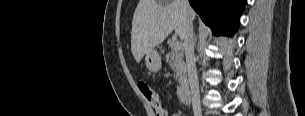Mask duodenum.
I'll use <instances>...</instances> for the list:
<instances>
[{"instance_id": "duodenum-1", "label": "duodenum", "mask_w": 305, "mask_h": 116, "mask_svg": "<svg viewBox=\"0 0 305 116\" xmlns=\"http://www.w3.org/2000/svg\"><path fill=\"white\" fill-rule=\"evenodd\" d=\"M178 95L180 102L184 105H188L191 102V93L188 83H183L178 89Z\"/></svg>"}]
</instances>
